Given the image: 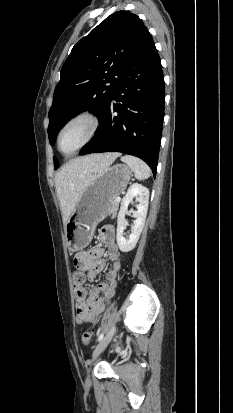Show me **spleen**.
Segmentation results:
<instances>
[{"label":"spleen","mask_w":233,"mask_h":413,"mask_svg":"<svg viewBox=\"0 0 233 413\" xmlns=\"http://www.w3.org/2000/svg\"><path fill=\"white\" fill-rule=\"evenodd\" d=\"M121 161L125 162L134 171L136 179L144 180L150 177L151 170L143 160L134 156L125 155L121 157Z\"/></svg>","instance_id":"3e777b00"}]
</instances>
